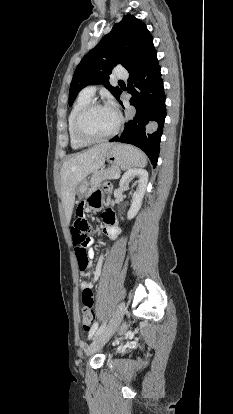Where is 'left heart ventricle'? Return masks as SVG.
Returning a JSON list of instances; mask_svg holds the SVG:
<instances>
[{
    "label": "left heart ventricle",
    "mask_w": 233,
    "mask_h": 414,
    "mask_svg": "<svg viewBox=\"0 0 233 414\" xmlns=\"http://www.w3.org/2000/svg\"><path fill=\"white\" fill-rule=\"evenodd\" d=\"M116 113L109 107H100L91 110L83 119L82 131L93 137L108 134L116 125Z\"/></svg>",
    "instance_id": "1"
}]
</instances>
